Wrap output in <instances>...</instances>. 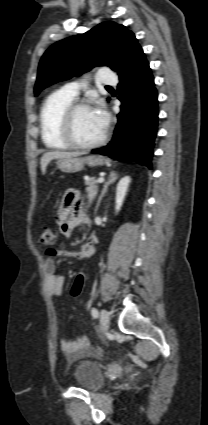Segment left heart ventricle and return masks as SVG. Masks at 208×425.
<instances>
[{
  "label": "left heart ventricle",
  "mask_w": 208,
  "mask_h": 425,
  "mask_svg": "<svg viewBox=\"0 0 208 425\" xmlns=\"http://www.w3.org/2000/svg\"><path fill=\"white\" fill-rule=\"evenodd\" d=\"M73 130L78 141L92 143L102 136L105 127L100 123L94 110L84 109L76 113Z\"/></svg>",
  "instance_id": "obj_1"
}]
</instances>
